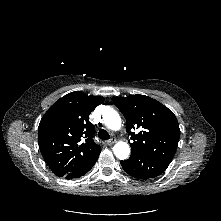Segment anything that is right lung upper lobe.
<instances>
[{
	"label": "right lung upper lobe",
	"instance_id": "cb5924a9",
	"mask_svg": "<svg viewBox=\"0 0 221 221\" xmlns=\"http://www.w3.org/2000/svg\"><path fill=\"white\" fill-rule=\"evenodd\" d=\"M103 97L71 92L56 101L42 117L38 143L49 168L63 177L101 152L93 141L94 125L89 114Z\"/></svg>",
	"mask_w": 221,
	"mask_h": 221
}]
</instances>
